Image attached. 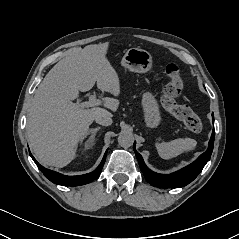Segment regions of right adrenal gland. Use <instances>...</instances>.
I'll use <instances>...</instances> for the list:
<instances>
[{
  "mask_svg": "<svg viewBox=\"0 0 239 239\" xmlns=\"http://www.w3.org/2000/svg\"><path fill=\"white\" fill-rule=\"evenodd\" d=\"M101 129V127L91 128L88 134H91L89 139L85 142V147L88 149L93 145L96 133ZM90 144L89 146L87 144Z\"/></svg>",
  "mask_w": 239,
  "mask_h": 239,
  "instance_id": "right-adrenal-gland-1",
  "label": "right adrenal gland"
}]
</instances>
